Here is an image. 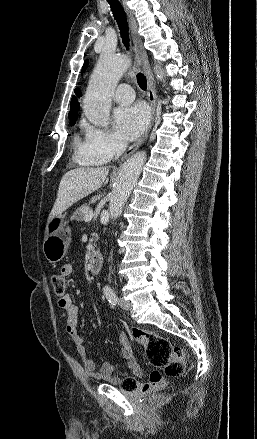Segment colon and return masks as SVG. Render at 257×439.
Masks as SVG:
<instances>
[{"instance_id": "obj_1", "label": "colon", "mask_w": 257, "mask_h": 439, "mask_svg": "<svg viewBox=\"0 0 257 439\" xmlns=\"http://www.w3.org/2000/svg\"><path fill=\"white\" fill-rule=\"evenodd\" d=\"M51 284L55 295L64 297L66 293V281L60 274L51 277ZM134 338L144 347L149 362L155 367L148 381L141 384L134 378H125L121 383V389L126 392H157L165 384L166 377H178L185 370V355L181 348L174 347L166 338L152 332L134 329ZM158 398L152 396V401Z\"/></svg>"}]
</instances>
